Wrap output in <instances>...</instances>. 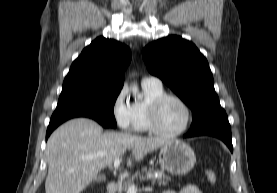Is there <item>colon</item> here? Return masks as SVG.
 Returning a JSON list of instances; mask_svg holds the SVG:
<instances>
[{
  "label": "colon",
  "mask_w": 277,
  "mask_h": 193,
  "mask_svg": "<svg viewBox=\"0 0 277 193\" xmlns=\"http://www.w3.org/2000/svg\"><path fill=\"white\" fill-rule=\"evenodd\" d=\"M205 175L209 184L214 185L217 183L218 177L215 171L206 170Z\"/></svg>",
  "instance_id": "obj_1"
}]
</instances>
